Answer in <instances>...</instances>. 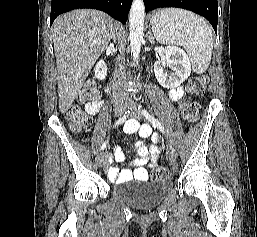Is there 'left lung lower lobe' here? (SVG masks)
I'll return each mask as SVG.
<instances>
[{
  "label": "left lung lower lobe",
  "mask_w": 257,
  "mask_h": 237,
  "mask_svg": "<svg viewBox=\"0 0 257 237\" xmlns=\"http://www.w3.org/2000/svg\"><path fill=\"white\" fill-rule=\"evenodd\" d=\"M148 13L156 8L178 7L193 11L205 17L217 33L218 2L217 0H143Z\"/></svg>",
  "instance_id": "0a47b994"
}]
</instances>
